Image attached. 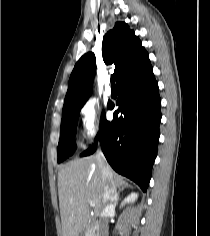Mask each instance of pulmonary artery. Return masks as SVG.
Listing matches in <instances>:
<instances>
[{
    "label": "pulmonary artery",
    "mask_w": 210,
    "mask_h": 236,
    "mask_svg": "<svg viewBox=\"0 0 210 236\" xmlns=\"http://www.w3.org/2000/svg\"><path fill=\"white\" fill-rule=\"evenodd\" d=\"M105 92L108 96H110L112 94V89L108 84L105 87Z\"/></svg>",
    "instance_id": "obj_1"
}]
</instances>
